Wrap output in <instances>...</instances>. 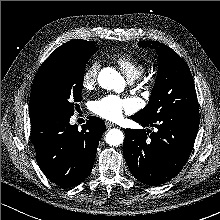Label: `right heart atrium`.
Listing matches in <instances>:
<instances>
[{
	"label": "right heart atrium",
	"instance_id": "right-heart-atrium-1",
	"mask_svg": "<svg viewBox=\"0 0 220 220\" xmlns=\"http://www.w3.org/2000/svg\"><path fill=\"white\" fill-rule=\"evenodd\" d=\"M100 64L98 61H92L84 70L82 74V87L85 90L91 89L97 82V76Z\"/></svg>",
	"mask_w": 220,
	"mask_h": 220
}]
</instances>
